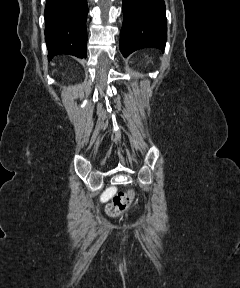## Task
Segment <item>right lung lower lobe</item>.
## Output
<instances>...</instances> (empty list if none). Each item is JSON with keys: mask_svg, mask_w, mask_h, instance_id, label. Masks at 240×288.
<instances>
[{"mask_svg": "<svg viewBox=\"0 0 240 288\" xmlns=\"http://www.w3.org/2000/svg\"><path fill=\"white\" fill-rule=\"evenodd\" d=\"M87 0H46L45 41L48 60L58 54L87 55Z\"/></svg>", "mask_w": 240, "mask_h": 288, "instance_id": "obj_1", "label": "right lung lower lobe"}]
</instances>
